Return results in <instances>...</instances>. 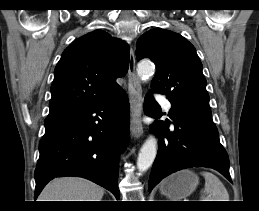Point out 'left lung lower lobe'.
Wrapping results in <instances>:
<instances>
[{
    "mask_svg": "<svg viewBox=\"0 0 259 211\" xmlns=\"http://www.w3.org/2000/svg\"><path fill=\"white\" fill-rule=\"evenodd\" d=\"M144 111L160 117V106L151 91L145 96ZM170 121H155L151 127L159 136V149L153 163L148 190L163 178L178 170L191 167H210L231 181L228 154L219 141L218 130L211 113L171 103Z\"/></svg>",
    "mask_w": 259,
    "mask_h": 211,
    "instance_id": "1",
    "label": "left lung lower lobe"
}]
</instances>
